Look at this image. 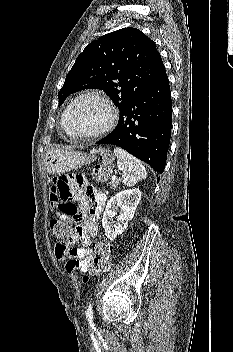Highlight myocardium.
I'll return each instance as SVG.
<instances>
[{
	"mask_svg": "<svg viewBox=\"0 0 233 352\" xmlns=\"http://www.w3.org/2000/svg\"><path fill=\"white\" fill-rule=\"evenodd\" d=\"M83 99H95L100 101L101 103H103L109 113V117L107 122L98 130L91 132V133H76L75 131H73L72 127H71V122H70V116H71V111L73 109V107L81 100ZM117 118H118V114H117V110L115 108V106L113 105V103L104 95H101L99 93H95V92H88V93H84L81 94L79 96H77L67 107V111H66V119H65V123H66V127L68 130V133L70 136L74 137V138H78V139H95L98 138L104 134H106L107 132H109L114 125L117 122Z\"/></svg>",
	"mask_w": 233,
	"mask_h": 352,
	"instance_id": "1",
	"label": "myocardium"
}]
</instances>
